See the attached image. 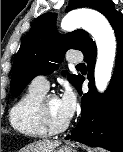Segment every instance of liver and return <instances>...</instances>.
Returning <instances> with one entry per match:
<instances>
[{
    "mask_svg": "<svg viewBox=\"0 0 123 152\" xmlns=\"http://www.w3.org/2000/svg\"><path fill=\"white\" fill-rule=\"evenodd\" d=\"M59 145V141L40 140L26 146L20 152H54Z\"/></svg>",
    "mask_w": 123,
    "mask_h": 152,
    "instance_id": "6515ba94",
    "label": "liver"
}]
</instances>
